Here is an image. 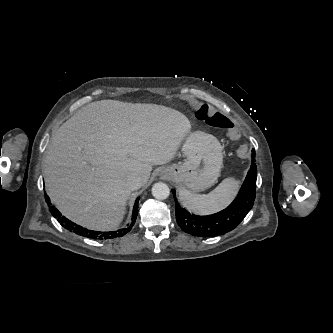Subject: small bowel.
Here are the masks:
<instances>
[{
    "instance_id": "1",
    "label": "small bowel",
    "mask_w": 333,
    "mask_h": 333,
    "mask_svg": "<svg viewBox=\"0 0 333 333\" xmlns=\"http://www.w3.org/2000/svg\"><path fill=\"white\" fill-rule=\"evenodd\" d=\"M225 138L229 142L236 143L235 152H236V156L238 158H243L245 156V154L249 153V145L243 144L242 142H238L239 136H238L237 132L229 131L226 133Z\"/></svg>"
}]
</instances>
